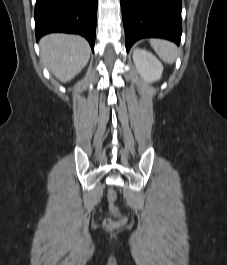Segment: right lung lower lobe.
I'll return each instance as SVG.
<instances>
[{
    "label": "right lung lower lobe",
    "instance_id": "right-lung-lower-lobe-1",
    "mask_svg": "<svg viewBox=\"0 0 227 265\" xmlns=\"http://www.w3.org/2000/svg\"><path fill=\"white\" fill-rule=\"evenodd\" d=\"M34 19L37 41L51 32L80 34L94 51L97 0H36Z\"/></svg>",
    "mask_w": 227,
    "mask_h": 265
}]
</instances>
